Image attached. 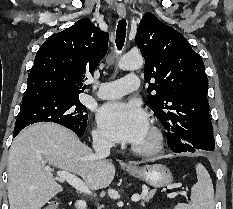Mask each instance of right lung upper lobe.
Returning <instances> with one entry per match:
<instances>
[{
  "mask_svg": "<svg viewBox=\"0 0 233 209\" xmlns=\"http://www.w3.org/2000/svg\"><path fill=\"white\" fill-rule=\"evenodd\" d=\"M109 35L88 18L53 34L39 48L22 103L74 99L85 89L86 74L105 57Z\"/></svg>",
  "mask_w": 233,
  "mask_h": 209,
  "instance_id": "cb5924a9",
  "label": "right lung upper lobe"
}]
</instances>
